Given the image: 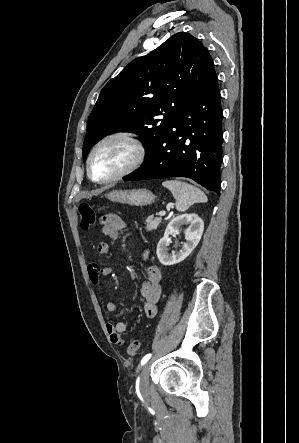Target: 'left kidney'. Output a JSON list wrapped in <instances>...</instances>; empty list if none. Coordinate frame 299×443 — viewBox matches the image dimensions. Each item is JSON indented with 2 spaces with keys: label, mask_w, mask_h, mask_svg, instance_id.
Listing matches in <instances>:
<instances>
[{
  "label": "left kidney",
  "mask_w": 299,
  "mask_h": 443,
  "mask_svg": "<svg viewBox=\"0 0 299 443\" xmlns=\"http://www.w3.org/2000/svg\"><path fill=\"white\" fill-rule=\"evenodd\" d=\"M189 225L184 230L186 242L182 244V248L175 252L169 253L168 246L171 242L170 235L177 232L182 225ZM204 230V222L197 214H182L173 218L157 245V257L161 264L165 266L174 265L186 259L198 245Z\"/></svg>",
  "instance_id": "left-kidney-1"
}]
</instances>
